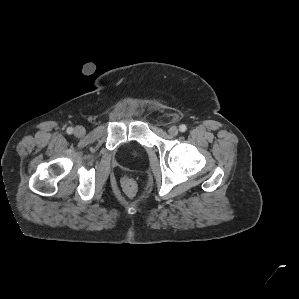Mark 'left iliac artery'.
<instances>
[{"instance_id":"1","label":"left iliac artery","mask_w":299,"mask_h":299,"mask_svg":"<svg viewBox=\"0 0 299 299\" xmlns=\"http://www.w3.org/2000/svg\"><path fill=\"white\" fill-rule=\"evenodd\" d=\"M179 130H180V132H185L187 130L186 125H184V124L180 125Z\"/></svg>"}]
</instances>
